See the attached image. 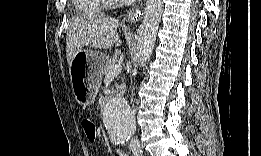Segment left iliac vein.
<instances>
[{"mask_svg":"<svg viewBox=\"0 0 261 156\" xmlns=\"http://www.w3.org/2000/svg\"><path fill=\"white\" fill-rule=\"evenodd\" d=\"M129 147L134 155L139 156L143 154L139 143L132 142Z\"/></svg>","mask_w":261,"mask_h":156,"instance_id":"obj_1","label":"left iliac vein"}]
</instances>
